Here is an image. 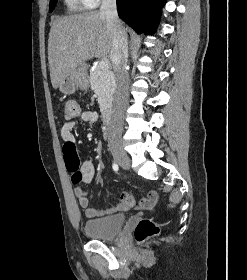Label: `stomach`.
I'll return each instance as SVG.
<instances>
[{"mask_svg":"<svg viewBox=\"0 0 247 280\" xmlns=\"http://www.w3.org/2000/svg\"><path fill=\"white\" fill-rule=\"evenodd\" d=\"M79 88L84 90L88 88L87 65L85 63L76 65L59 86L60 91L64 94H73Z\"/></svg>","mask_w":247,"mask_h":280,"instance_id":"obj_1","label":"stomach"}]
</instances>
